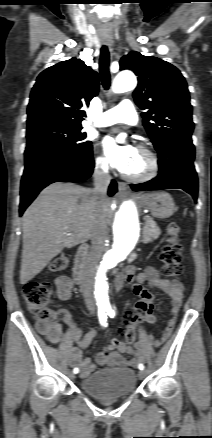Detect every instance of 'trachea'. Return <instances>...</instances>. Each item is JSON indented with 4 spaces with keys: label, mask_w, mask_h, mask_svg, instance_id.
<instances>
[{
    "label": "trachea",
    "mask_w": 212,
    "mask_h": 438,
    "mask_svg": "<svg viewBox=\"0 0 212 438\" xmlns=\"http://www.w3.org/2000/svg\"><path fill=\"white\" fill-rule=\"evenodd\" d=\"M110 56L107 46L103 45L101 48L99 70L101 75L102 85L105 90H108L111 85V77L109 72Z\"/></svg>",
    "instance_id": "obj_1"
}]
</instances>
